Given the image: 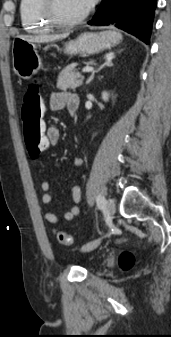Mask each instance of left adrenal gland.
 I'll return each instance as SVG.
<instances>
[{
  "label": "left adrenal gland",
  "instance_id": "obj_1",
  "mask_svg": "<svg viewBox=\"0 0 171 337\" xmlns=\"http://www.w3.org/2000/svg\"><path fill=\"white\" fill-rule=\"evenodd\" d=\"M114 57H115V54L113 52H110V53L106 54L105 62L96 71H93V73L91 74V76L87 80L86 84H89L93 80L95 73H98L105 66H113L112 60L114 59Z\"/></svg>",
  "mask_w": 171,
  "mask_h": 337
}]
</instances>
